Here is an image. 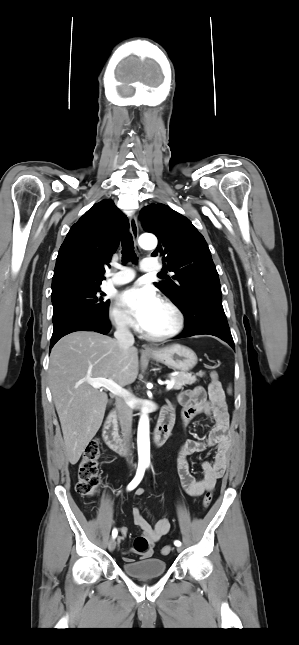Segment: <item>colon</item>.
Segmentation results:
<instances>
[{
	"instance_id": "obj_1",
	"label": "colon",
	"mask_w": 299,
	"mask_h": 645,
	"mask_svg": "<svg viewBox=\"0 0 299 645\" xmlns=\"http://www.w3.org/2000/svg\"><path fill=\"white\" fill-rule=\"evenodd\" d=\"M211 382L210 389L218 391L221 389V383L219 381L218 374L215 370L210 372ZM99 443L97 440H92L85 447L82 454L81 460L78 466V479L76 483V491L84 497L94 496L100 485V474L98 469V458H99ZM212 502V493L206 492L203 498L204 508H208ZM148 548V542L143 536H138L134 540V550L138 553H143ZM172 548L169 545H166L162 548L161 553L163 555H168L171 552Z\"/></svg>"
}]
</instances>
